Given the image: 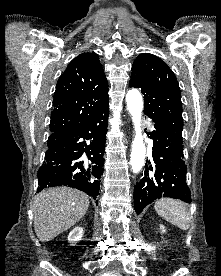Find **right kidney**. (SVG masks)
Wrapping results in <instances>:
<instances>
[{
    "mask_svg": "<svg viewBox=\"0 0 221 276\" xmlns=\"http://www.w3.org/2000/svg\"><path fill=\"white\" fill-rule=\"evenodd\" d=\"M83 236V228L75 227L68 235V241L70 243H76L81 240Z\"/></svg>",
    "mask_w": 221,
    "mask_h": 276,
    "instance_id": "right-kidney-1",
    "label": "right kidney"
}]
</instances>
